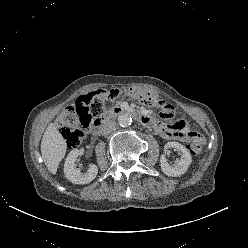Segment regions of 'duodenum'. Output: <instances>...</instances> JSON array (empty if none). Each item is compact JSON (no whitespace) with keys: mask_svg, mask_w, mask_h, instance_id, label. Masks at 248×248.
<instances>
[{"mask_svg":"<svg viewBox=\"0 0 248 248\" xmlns=\"http://www.w3.org/2000/svg\"><path fill=\"white\" fill-rule=\"evenodd\" d=\"M123 114L132 116L135 120L139 121L145 126L155 127L156 125L155 121L152 118H150L149 116L143 113L129 109L127 107H115L109 110L108 112H106L102 117L95 120L91 128L92 135L96 136L105 122H107L108 120L116 116L123 115Z\"/></svg>","mask_w":248,"mask_h":248,"instance_id":"duodenum-1","label":"duodenum"}]
</instances>
